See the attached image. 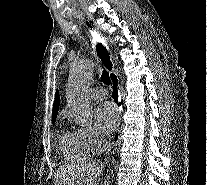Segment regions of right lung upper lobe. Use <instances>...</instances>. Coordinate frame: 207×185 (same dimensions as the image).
<instances>
[{
	"mask_svg": "<svg viewBox=\"0 0 207 185\" xmlns=\"http://www.w3.org/2000/svg\"><path fill=\"white\" fill-rule=\"evenodd\" d=\"M59 93L58 90L56 91V95H55V102H54V106H53V112H52V122L54 123L56 121V117H57V112H58V108H59Z\"/></svg>",
	"mask_w": 207,
	"mask_h": 185,
	"instance_id": "1",
	"label": "right lung upper lobe"
}]
</instances>
